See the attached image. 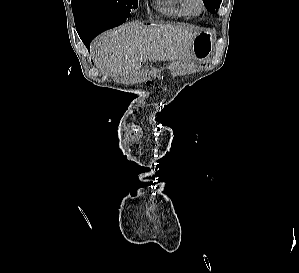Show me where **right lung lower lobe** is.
Wrapping results in <instances>:
<instances>
[{
    "label": "right lung lower lobe",
    "mask_w": 299,
    "mask_h": 273,
    "mask_svg": "<svg viewBox=\"0 0 299 273\" xmlns=\"http://www.w3.org/2000/svg\"><path fill=\"white\" fill-rule=\"evenodd\" d=\"M126 18L117 20V21H113L110 23H106V24H96V25H88L85 27H82L80 29H77V32L81 38V40L83 41V43L85 44V46L87 47L88 50H90V42L101 32L116 27L120 24H122L123 22H125Z\"/></svg>",
    "instance_id": "98d812e1"
}]
</instances>
